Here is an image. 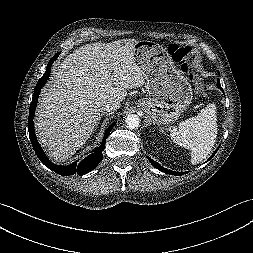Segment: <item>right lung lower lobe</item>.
Returning a JSON list of instances; mask_svg holds the SVG:
<instances>
[{
    "mask_svg": "<svg viewBox=\"0 0 253 253\" xmlns=\"http://www.w3.org/2000/svg\"><path fill=\"white\" fill-rule=\"evenodd\" d=\"M59 53H57L48 63L46 72L44 75L39 79L35 89H34V94L32 98V102L30 105V111H29V118H28V130H29V137L33 146V149L40 159V161L47 166L49 169L53 170L54 172L58 173L59 175L62 176H70L75 173L79 175H84L90 171H92L102 160L103 154L102 151L105 148V141L107 139V136L109 135L110 131L116 124V122L112 123L106 130L104 134V138L102 140V144L99 148L94 150V153L91 155L87 156L85 159H83L79 164L77 162L72 163L71 165L67 166H60L53 164L49 159L46 157L45 153L43 152L41 146L39 145L36 135L34 133V123H33V117H34V112L35 108L38 102V97L41 91V88L44 86L45 82L47 81L50 71H51V65L52 63L57 59Z\"/></svg>",
    "mask_w": 253,
    "mask_h": 253,
    "instance_id": "right-lung-lower-lobe-1",
    "label": "right lung lower lobe"
}]
</instances>
